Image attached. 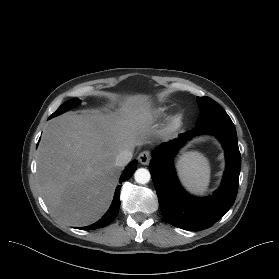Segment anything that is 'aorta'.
I'll return each instance as SVG.
<instances>
[{
	"label": "aorta",
	"instance_id": "obj_1",
	"mask_svg": "<svg viewBox=\"0 0 279 279\" xmlns=\"http://www.w3.org/2000/svg\"><path fill=\"white\" fill-rule=\"evenodd\" d=\"M151 175L148 169L139 168L134 173V179L139 184H146L150 181Z\"/></svg>",
	"mask_w": 279,
	"mask_h": 279
}]
</instances>
